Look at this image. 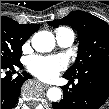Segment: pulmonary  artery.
Returning a JSON list of instances; mask_svg holds the SVG:
<instances>
[{"label":"pulmonary artery","instance_id":"obj_1","mask_svg":"<svg viewBox=\"0 0 109 109\" xmlns=\"http://www.w3.org/2000/svg\"><path fill=\"white\" fill-rule=\"evenodd\" d=\"M55 37L58 45L61 47H69L75 40L73 31L69 29H61L56 31Z\"/></svg>","mask_w":109,"mask_h":109}]
</instances>
